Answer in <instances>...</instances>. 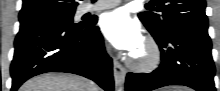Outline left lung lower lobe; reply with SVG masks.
I'll return each instance as SVG.
<instances>
[{
    "mask_svg": "<svg viewBox=\"0 0 220 91\" xmlns=\"http://www.w3.org/2000/svg\"><path fill=\"white\" fill-rule=\"evenodd\" d=\"M161 64L150 74L128 73L126 91H150L166 85H185L197 91H215V67L207 30L179 27L163 38H154Z\"/></svg>",
    "mask_w": 220,
    "mask_h": 91,
    "instance_id": "obj_1",
    "label": "left lung lower lobe"
}]
</instances>
